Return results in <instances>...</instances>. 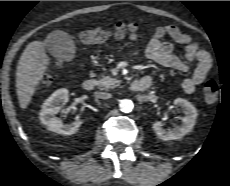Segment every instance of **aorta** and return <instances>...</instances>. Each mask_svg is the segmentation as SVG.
Wrapping results in <instances>:
<instances>
[{
  "mask_svg": "<svg viewBox=\"0 0 230 186\" xmlns=\"http://www.w3.org/2000/svg\"><path fill=\"white\" fill-rule=\"evenodd\" d=\"M120 110L124 113H130L133 110V102L129 99L121 100L119 103Z\"/></svg>",
  "mask_w": 230,
  "mask_h": 186,
  "instance_id": "obj_1",
  "label": "aorta"
}]
</instances>
